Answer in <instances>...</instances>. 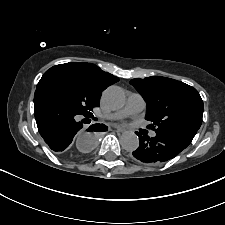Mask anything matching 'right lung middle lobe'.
<instances>
[{
	"instance_id": "1",
	"label": "right lung middle lobe",
	"mask_w": 225,
	"mask_h": 225,
	"mask_svg": "<svg viewBox=\"0 0 225 225\" xmlns=\"http://www.w3.org/2000/svg\"><path fill=\"white\" fill-rule=\"evenodd\" d=\"M36 91L45 92L85 117L99 106V98L84 82L59 68L47 70L37 84Z\"/></svg>"
}]
</instances>
